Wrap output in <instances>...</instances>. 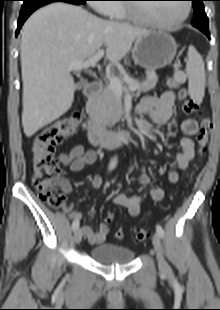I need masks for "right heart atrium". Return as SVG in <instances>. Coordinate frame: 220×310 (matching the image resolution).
<instances>
[{
    "label": "right heart atrium",
    "instance_id": "obj_1",
    "mask_svg": "<svg viewBox=\"0 0 220 310\" xmlns=\"http://www.w3.org/2000/svg\"><path fill=\"white\" fill-rule=\"evenodd\" d=\"M95 3L93 4V8L104 15H108L109 10L113 7L112 4H109V0H93Z\"/></svg>",
    "mask_w": 220,
    "mask_h": 310
}]
</instances>
